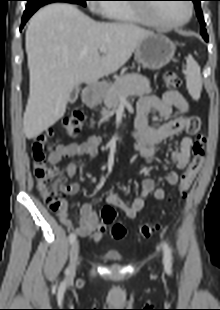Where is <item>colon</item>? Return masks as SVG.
I'll list each match as a JSON object with an SVG mask.
<instances>
[{
  "mask_svg": "<svg viewBox=\"0 0 220 310\" xmlns=\"http://www.w3.org/2000/svg\"><path fill=\"white\" fill-rule=\"evenodd\" d=\"M164 81L167 86L173 88L181 85L180 78L172 70L165 71ZM83 123V113L73 111L63 119L61 128L67 135L75 136L80 132ZM52 135V131L37 135L34 138L31 150L37 189L41 193L46 206L52 211H58L64 204L68 186L62 179L60 169L49 164L46 160L45 147ZM205 146L206 136L203 133H198L191 148L192 158L182 173L178 184V191L181 195L191 187L203 165ZM101 218L103 224H112L116 219V211L113 207L106 205L101 210ZM159 227L158 222L142 224L139 228V235L141 238L149 239ZM111 234L114 239H123L126 230L121 224L117 223L113 225Z\"/></svg>",
  "mask_w": 220,
  "mask_h": 310,
  "instance_id": "1",
  "label": "colon"
}]
</instances>
